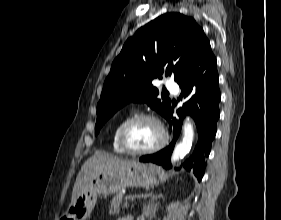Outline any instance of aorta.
<instances>
[{
    "label": "aorta",
    "instance_id": "762f6f07",
    "mask_svg": "<svg viewBox=\"0 0 281 220\" xmlns=\"http://www.w3.org/2000/svg\"><path fill=\"white\" fill-rule=\"evenodd\" d=\"M183 132L184 134L182 141L175 147L172 153V163L182 159L184 155L191 149L194 139V130L192 124L189 122V119H187L183 125Z\"/></svg>",
    "mask_w": 281,
    "mask_h": 220
}]
</instances>
